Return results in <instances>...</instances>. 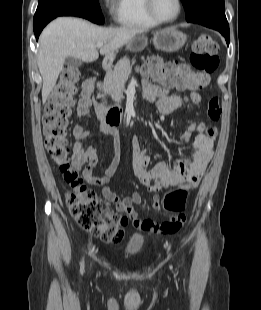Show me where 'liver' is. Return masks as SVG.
Wrapping results in <instances>:
<instances>
[{
    "label": "liver",
    "mask_w": 261,
    "mask_h": 310,
    "mask_svg": "<svg viewBox=\"0 0 261 310\" xmlns=\"http://www.w3.org/2000/svg\"><path fill=\"white\" fill-rule=\"evenodd\" d=\"M143 32L137 28H103L73 17H60L49 23L39 38L37 58L43 79V103L56 85L66 57L73 56L83 62L95 61L99 57L98 43H103L100 54L111 56Z\"/></svg>",
    "instance_id": "obj_1"
}]
</instances>
